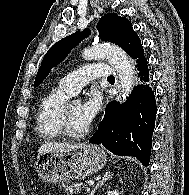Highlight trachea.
<instances>
[{
	"mask_svg": "<svg viewBox=\"0 0 189 195\" xmlns=\"http://www.w3.org/2000/svg\"><path fill=\"white\" fill-rule=\"evenodd\" d=\"M108 78H114V76L113 75H110V76H108Z\"/></svg>",
	"mask_w": 189,
	"mask_h": 195,
	"instance_id": "1",
	"label": "trachea"
}]
</instances>
